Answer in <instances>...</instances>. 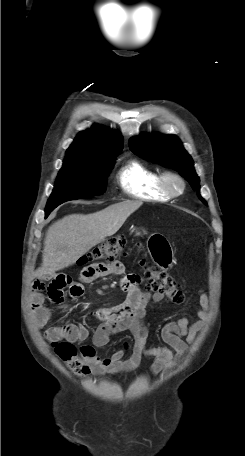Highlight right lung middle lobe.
<instances>
[{"instance_id": "dd1d6c3e", "label": "right lung middle lobe", "mask_w": 245, "mask_h": 456, "mask_svg": "<svg viewBox=\"0 0 245 456\" xmlns=\"http://www.w3.org/2000/svg\"><path fill=\"white\" fill-rule=\"evenodd\" d=\"M116 157L98 162H70L61 168L45 213L65 201L102 195L106 180Z\"/></svg>"}]
</instances>
